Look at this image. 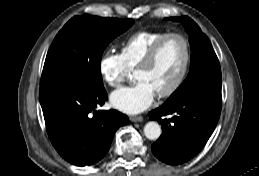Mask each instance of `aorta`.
Segmentation results:
<instances>
[{"label":"aorta","instance_id":"aorta-1","mask_svg":"<svg viewBox=\"0 0 259 176\" xmlns=\"http://www.w3.org/2000/svg\"><path fill=\"white\" fill-rule=\"evenodd\" d=\"M161 133V126L155 121H150L144 126V135L149 140H157Z\"/></svg>","mask_w":259,"mask_h":176}]
</instances>
